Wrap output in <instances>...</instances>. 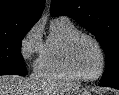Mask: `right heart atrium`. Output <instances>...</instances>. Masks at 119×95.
<instances>
[{
    "label": "right heart atrium",
    "instance_id": "right-heart-atrium-1",
    "mask_svg": "<svg viewBox=\"0 0 119 95\" xmlns=\"http://www.w3.org/2000/svg\"><path fill=\"white\" fill-rule=\"evenodd\" d=\"M42 26L34 24L21 39L20 52L25 61H31L42 47Z\"/></svg>",
    "mask_w": 119,
    "mask_h": 95
}]
</instances>
